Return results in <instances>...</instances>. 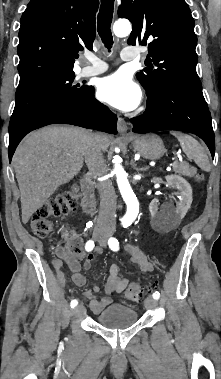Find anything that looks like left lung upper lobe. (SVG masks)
Wrapping results in <instances>:
<instances>
[{
  "label": "left lung upper lobe",
  "mask_w": 221,
  "mask_h": 379,
  "mask_svg": "<svg viewBox=\"0 0 221 379\" xmlns=\"http://www.w3.org/2000/svg\"><path fill=\"white\" fill-rule=\"evenodd\" d=\"M118 15L133 25L128 44L149 42L150 68L136 74L146 93L157 85L202 92L195 22L185 0H122Z\"/></svg>",
  "instance_id": "1"
}]
</instances>
